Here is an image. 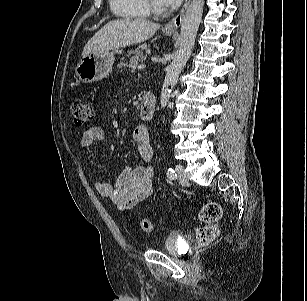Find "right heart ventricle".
I'll return each instance as SVG.
<instances>
[{
	"label": "right heart ventricle",
	"mask_w": 307,
	"mask_h": 301,
	"mask_svg": "<svg viewBox=\"0 0 307 301\" xmlns=\"http://www.w3.org/2000/svg\"><path fill=\"white\" fill-rule=\"evenodd\" d=\"M113 13L127 19H145L149 12L143 0H109Z\"/></svg>",
	"instance_id": "obj_1"
}]
</instances>
